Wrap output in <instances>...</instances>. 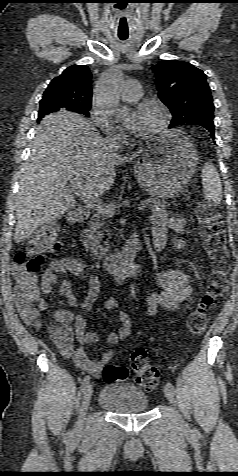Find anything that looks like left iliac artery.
<instances>
[{"label":"left iliac artery","mask_w":238,"mask_h":476,"mask_svg":"<svg viewBox=\"0 0 238 476\" xmlns=\"http://www.w3.org/2000/svg\"><path fill=\"white\" fill-rule=\"evenodd\" d=\"M167 385L171 388V390L175 393L176 390H175V387L173 386V384L171 382H167Z\"/></svg>","instance_id":"44dca946"}]
</instances>
